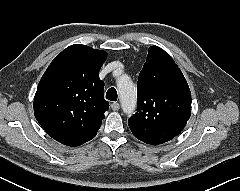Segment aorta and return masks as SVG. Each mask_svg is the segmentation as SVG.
Here are the masks:
<instances>
[{
  "label": "aorta",
  "instance_id": "762f6f07",
  "mask_svg": "<svg viewBox=\"0 0 240 191\" xmlns=\"http://www.w3.org/2000/svg\"><path fill=\"white\" fill-rule=\"evenodd\" d=\"M117 86L123 112L133 113L137 104V93L133 82L127 76H123L118 79Z\"/></svg>",
  "mask_w": 240,
  "mask_h": 191
}]
</instances>
